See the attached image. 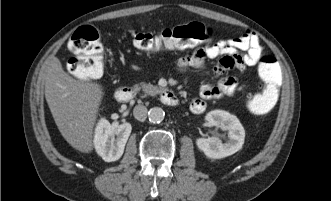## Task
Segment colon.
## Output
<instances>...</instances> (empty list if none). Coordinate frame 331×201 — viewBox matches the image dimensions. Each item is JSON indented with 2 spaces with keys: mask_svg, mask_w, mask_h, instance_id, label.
Returning <instances> with one entry per match:
<instances>
[{
  "mask_svg": "<svg viewBox=\"0 0 331 201\" xmlns=\"http://www.w3.org/2000/svg\"><path fill=\"white\" fill-rule=\"evenodd\" d=\"M212 29L199 22L169 27L158 32H131L128 39L139 50L158 52L162 50L194 48L212 39ZM75 54L69 60L68 69L82 80L98 78L104 71L103 46L98 31L92 26L76 30L69 42ZM259 76L263 87L246 100L248 110L255 115H264L276 105L283 81V68L272 55H264L258 61Z\"/></svg>",
  "mask_w": 331,
  "mask_h": 201,
  "instance_id": "colon-1",
  "label": "colon"
}]
</instances>
